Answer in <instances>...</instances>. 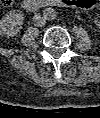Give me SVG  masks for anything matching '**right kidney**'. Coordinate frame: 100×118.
I'll list each match as a JSON object with an SVG mask.
<instances>
[{
  "mask_svg": "<svg viewBox=\"0 0 100 118\" xmlns=\"http://www.w3.org/2000/svg\"><path fill=\"white\" fill-rule=\"evenodd\" d=\"M18 23L12 18H7L2 25V32L6 36H12L19 31Z\"/></svg>",
  "mask_w": 100,
  "mask_h": 118,
  "instance_id": "1",
  "label": "right kidney"
}]
</instances>
